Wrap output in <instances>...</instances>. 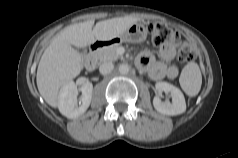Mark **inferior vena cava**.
Here are the masks:
<instances>
[{"instance_id": "inferior-vena-cava-1", "label": "inferior vena cava", "mask_w": 238, "mask_h": 158, "mask_svg": "<svg viewBox=\"0 0 238 158\" xmlns=\"http://www.w3.org/2000/svg\"><path fill=\"white\" fill-rule=\"evenodd\" d=\"M113 69H114V64L111 62L102 63L99 67V71L103 75L111 73Z\"/></svg>"}]
</instances>
